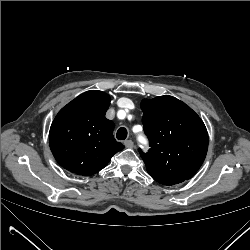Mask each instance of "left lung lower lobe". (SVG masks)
Masks as SVG:
<instances>
[{"instance_id": "left-lung-lower-lobe-1", "label": "left lung lower lobe", "mask_w": 250, "mask_h": 250, "mask_svg": "<svg viewBox=\"0 0 250 250\" xmlns=\"http://www.w3.org/2000/svg\"><path fill=\"white\" fill-rule=\"evenodd\" d=\"M157 182L164 184V185H174V184H178L177 181L174 180H157Z\"/></svg>"}]
</instances>
